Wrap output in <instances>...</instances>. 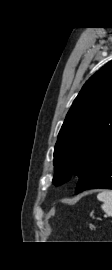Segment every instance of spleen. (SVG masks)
I'll return each mask as SVG.
<instances>
[{"mask_svg":"<svg viewBox=\"0 0 112 270\" xmlns=\"http://www.w3.org/2000/svg\"><path fill=\"white\" fill-rule=\"evenodd\" d=\"M97 199L103 202L102 210L112 216V191H102L97 195Z\"/></svg>","mask_w":112,"mask_h":270,"instance_id":"spleen-1","label":"spleen"}]
</instances>
